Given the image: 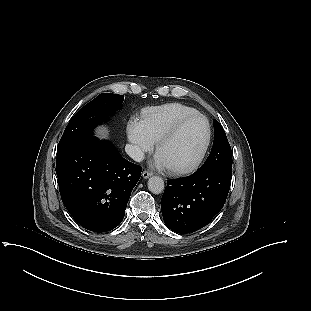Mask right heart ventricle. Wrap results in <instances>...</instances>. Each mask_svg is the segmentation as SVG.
<instances>
[{
    "label": "right heart ventricle",
    "mask_w": 311,
    "mask_h": 311,
    "mask_svg": "<svg viewBox=\"0 0 311 311\" xmlns=\"http://www.w3.org/2000/svg\"><path fill=\"white\" fill-rule=\"evenodd\" d=\"M196 112V109L188 105L169 103L145 109L142 112L141 123L148 137L157 142L178 119Z\"/></svg>",
    "instance_id": "1"
}]
</instances>
